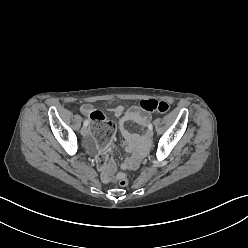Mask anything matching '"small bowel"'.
Instances as JSON below:
<instances>
[{
    "label": "small bowel",
    "instance_id": "1",
    "mask_svg": "<svg viewBox=\"0 0 248 248\" xmlns=\"http://www.w3.org/2000/svg\"><path fill=\"white\" fill-rule=\"evenodd\" d=\"M81 112L89 116L94 111L93 106L89 103L83 104L80 108ZM113 113L116 117H119V127L122 139L125 143V149L127 152H133V156L127 159L121 164L122 169L134 170L138 168L140 161L146 150V138L139 134L131 133L127 128L126 124L133 122L141 127H146L150 121L151 116L148 112L143 111L139 106H132L130 108H125L122 105H118L113 108ZM86 146L91 151H94L96 147L94 146V138L92 135H88L86 138ZM107 149V148H106ZM116 165L111 160L108 166L102 173V179L104 182L112 181V173L115 171Z\"/></svg>",
    "mask_w": 248,
    "mask_h": 248
}]
</instances>
